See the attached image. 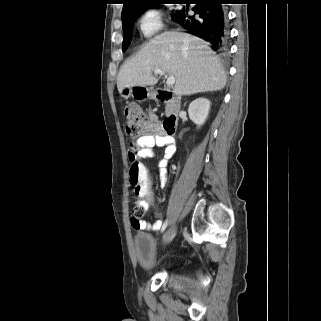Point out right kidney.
I'll return each mask as SVG.
<instances>
[{
	"mask_svg": "<svg viewBox=\"0 0 321 321\" xmlns=\"http://www.w3.org/2000/svg\"><path fill=\"white\" fill-rule=\"evenodd\" d=\"M210 101L206 98H197L192 101L188 108L189 118L198 126H202L209 114Z\"/></svg>",
	"mask_w": 321,
	"mask_h": 321,
	"instance_id": "1",
	"label": "right kidney"
}]
</instances>
